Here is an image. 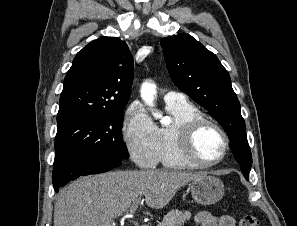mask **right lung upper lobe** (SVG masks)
<instances>
[{"label":"right lung upper lobe","mask_w":297,"mask_h":226,"mask_svg":"<svg viewBox=\"0 0 297 226\" xmlns=\"http://www.w3.org/2000/svg\"><path fill=\"white\" fill-rule=\"evenodd\" d=\"M133 82V58L127 44L101 37L75 56L60 96L57 120L84 114L124 111Z\"/></svg>","instance_id":"cb5924a9"}]
</instances>
